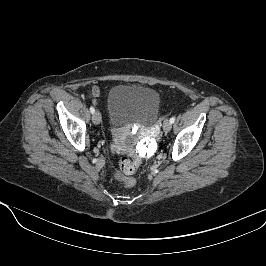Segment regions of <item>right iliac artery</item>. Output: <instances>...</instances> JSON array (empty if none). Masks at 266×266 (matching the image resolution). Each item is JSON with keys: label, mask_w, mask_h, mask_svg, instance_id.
I'll use <instances>...</instances> for the list:
<instances>
[{"label": "right iliac artery", "mask_w": 266, "mask_h": 266, "mask_svg": "<svg viewBox=\"0 0 266 266\" xmlns=\"http://www.w3.org/2000/svg\"><path fill=\"white\" fill-rule=\"evenodd\" d=\"M90 112L93 114L95 112V109L93 106L90 107Z\"/></svg>", "instance_id": "82829eb1"}]
</instances>
